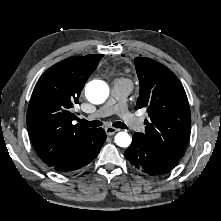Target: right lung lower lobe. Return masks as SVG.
I'll use <instances>...</instances> for the list:
<instances>
[{
    "instance_id": "1",
    "label": "right lung lower lobe",
    "mask_w": 221,
    "mask_h": 221,
    "mask_svg": "<svg viewBox=\"0 0 221 221\" xmlns=\"http://www.w3.org/2000/svg\"><path fill=\"white\" fill-rule=\"evenodd\" d=\"M105 139L106 134L102 128L94 129L91 138L83 148L53 166L52 169L57 172L67 173L84 167L98 155Z\"/></svg>"
}]
</instances>
